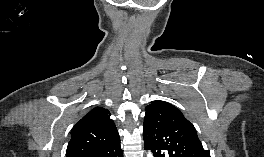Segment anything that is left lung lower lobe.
I'll return each mask as SVG.
<instances>
[{
    "label": "left lung lower lobe",
    "mask_w": 264,
    "mask_h": 157,
    "mask_svg": "<svg viewBox=\"0 0 264 157\" xmlns=\"http://www.w3.org/2000/svg\"><path fill=\"white\" fill-rule=\"evenodd\" d=\"M145 150H149V149L145 148ZM150 151H151V150H150ZM153 154H154V157H157L156 154H155L154 152H153Z\"/></svg>",
    "instance_id": "left-lung-lower-lobe-1"
}]
</instances>
